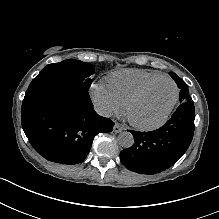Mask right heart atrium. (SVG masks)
I'll return each instance as SVG.
<instances>
[{"label": "right heart atrium", "mask_w": 219, "mask_h": 219, "mask_svg": "<svg viewBox=\"0 0 219 219\" xmlns=\"http://www.w3.org/2000/svg\"><path fill=\"white\" fill-rule=\"evenodd\" d=\"M91 97L98 112L105 116L119 115L122 113L123 106L112 95L109 88L102 84H94L91 87Z\"/></svg>", "instance_id": "obj_1"}]
</instances>
